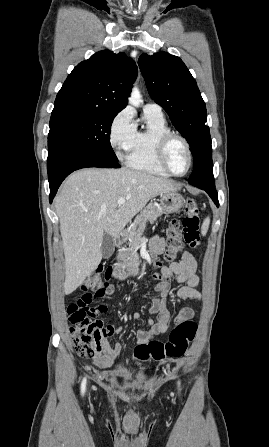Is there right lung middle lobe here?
<instances>
[{
    "instance_id": "right-lung-middle-lobe-1",
    "label": "right lung middle lobe",
    "mask_w": 269,
    "mask_h": 447,
    "mask_svg": "<svg viewBox=\"0 0 269 447\" xmlns=\"http://www.w3.org/2000/svg\"><path fill=\"white\" fill-rule=\"evenodd\" d=\"M117 113L61 112L51 115L48 139L118 160L110 144L111 124Z\"/></svg>"
}]
</instances>
